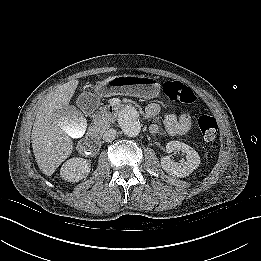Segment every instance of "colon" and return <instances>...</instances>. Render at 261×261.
Segmentation results:
<instances>
[{
    "instance_id": "colon-1",
    "label": "colon",
    "mask_w": 261,
    "mask_h": 261,
    "mask_svg": "<svg viewBox=\"0 0 261 261\" xmlns=\"http://www.w3.org/2000/svg\"><path fill=\"white\" fill-rule=\"evenodd\" d=\"M162 91L165 96L173 102H180L188 105H193L197 102L194 92L178 81H165L162 84ZM197 124L206 142L215 140L218 132V124L215 118L209 115H201L198 117Z\"/></svg>"
}]
</instances>
